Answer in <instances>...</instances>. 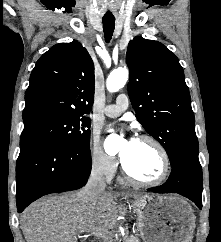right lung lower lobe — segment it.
Here are the masks:
<instances>
[{
	"label": "right lung lower lobe",
	"mask_w": 221,
	"mask_h": 242,
	"mask_svg": "<svg viewBox=\"0 0 221 242\" xmlns=\"http://www.w3.org/2000/svg\"><path fill=\"white\" fill-rule=\"evenodd\" d=\"M90 172V147L71 146L48 137L21 138L16 163L18 212L46 194L83 187Z\"/></svg>",
	"instance_id": "98d812e1"
}]
</instances>
